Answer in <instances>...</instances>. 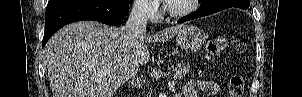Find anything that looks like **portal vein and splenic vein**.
<instances>
[{"label": "portal vein and splenic vein", "instance_id": "portal-vein-and-splenic-vein-1", "mask_svg": "<svg viewBox=\"0 0 302 97\" xmlns=\"http://www.w3.org/2000/svg\"><path fill=\"white\" fill-rule=\"evenodd\" d=\"M110 71V69H106V70H104V73H107V72H109Z\"/></svg>", "mask_w": 302, "mask_h": 97}]
</instances>
